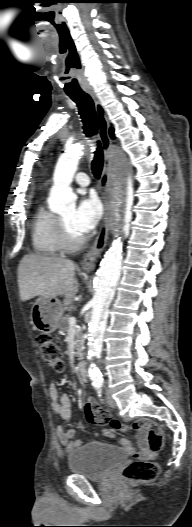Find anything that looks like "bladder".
I'll return each instance as SVG.
<instances>
[{
  "label": "bladder",
  "mask_w": 192,
  "mask_h": 527,
  "mask_svg": "<svg viewBox=\"0 0 192 527\" xmlns=\"http://www.w3.org/2000/svg\"><path fill=\"white\" fill-rule=\"evenodd\" d=\"M126 458V453L118 447L102 442H89L69 454L68 466L75 475L101 480Z\"/></svg>",
  "instance_id": "1"
}]
</instances>
